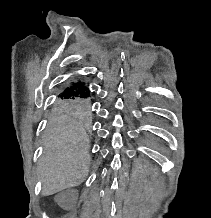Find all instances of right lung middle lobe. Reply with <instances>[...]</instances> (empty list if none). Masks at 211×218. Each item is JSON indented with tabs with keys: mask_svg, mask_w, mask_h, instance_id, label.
I'll return each instance as SVG.
<instances>
[{
	"mask_svg": "<svg viewBox=\"0 0 211 218\" xmlns=\"http://www.w3.org/2000/svg\"><path fill=\"white\" fill-rule=\"evenodd\" d=\"M54 109L58 112L89 111L91 100L84 98H58L54 103Z\"/></svg>",
	"mask_w": 211,
	"mask_h": 218,
	"instance_id": "1",
	"label": "right lung middle lobe"
}]
</instances>
